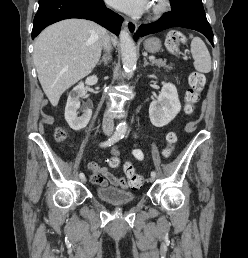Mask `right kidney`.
Returning a JSON list of instances; mask_svg holds the SVG:
<instances>
[{
  "instance_id": "1",
  "label": "right kidney",
  "mask_w": 248,
  "mask_h": 258,
  "mask_svg": "<svg viewBox=\"0 0 248 258\" xmlns=\"http://www.w3.org/2000/svg\"><path fill=\"white\" fill-rule=\"evenodd\" d=\"M97 82V76H90L85 83L80 82L69 94L65 107V120L73 130H81L88 125L92 116V110L86 109L80 117H77V110L80 107V97L85 94V84L93 86Z\"/></svg>"
}]
</instances>
